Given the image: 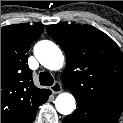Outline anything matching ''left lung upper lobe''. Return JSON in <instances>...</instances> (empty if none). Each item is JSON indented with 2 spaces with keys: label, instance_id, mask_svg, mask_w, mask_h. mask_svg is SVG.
<instances>
[{
  "label": "left lung upper lobe",
  "instance_id": "left-lung-upper-lobe-1",
  "mask_svg": "<svg viewBox=\"0 0 123 123\" xmlns=\"http://www.w3.org/2000/svg\"><path fill=\"white\" fill-rule=\"evenodd\" d=\"M62 47L67 66L63 85L76 100L123 110V53L105 33L90 25H48Z\"/></svg>",
  "mask_w": 123,
  "mask_h": 123
}]
</instances>
